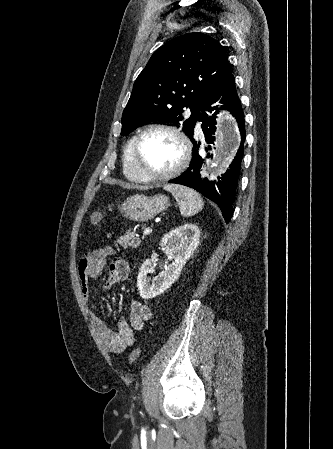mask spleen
Returning <instances> with one entry per match:
<instances>
[{
  "label": "spleen",
  "instance_id": "spleen-1",
  "mask_svg": "<svg viewBox=\"0 0 333 449\" xmlns=\"http://www.w3.org/2000/svg\"><path fill=\"white\" fill-rule=\"evenodd\" d=\"M164 190L171 192L179 204L180 213L185 217L192 216L203 208V199L191 188L178 184H168L164 186Z\"/></svg>",
  "mask_w": 333,
  "mask_h": 449
}]
</instances>
